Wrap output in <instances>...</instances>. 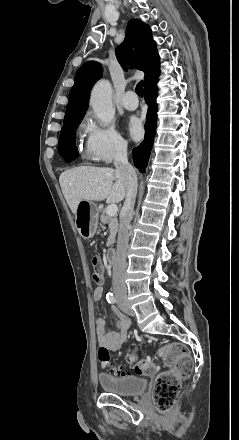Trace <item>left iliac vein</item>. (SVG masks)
<instances>
[{
	"label": "left iliac vein",
	"instance_id": "left-iliac-vein-1",
	"mask_svg": "<svg viewBox=\"0 0 239 440\" xmlns=\"http://www.w3.org/2000/svg\"><path fill=\"white\" fill-rule=\"evenodd\" d=\"M119 307L121 308V310H123V307H122L121 303H119ZM123 311H124V310H123Z\"/></svg>",
	"mask_w": 239,
	"mask_h": 440
}]
</instances>
